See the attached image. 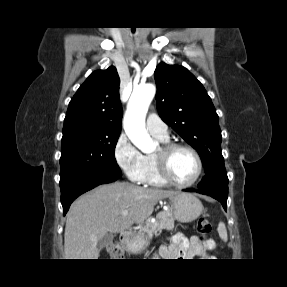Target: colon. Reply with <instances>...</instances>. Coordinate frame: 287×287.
Returning a JSON list of instances; mask_svg holds the SVG:
<instances>
[{
	"mask_svg": "<svg viewBox=\"0 0 287 287\" xmlns=\"http://www.w3.org/2000/svg\"><path fill=\"white\" fill-rule=\"evenodd\" d=\"M211 224L206 218H200L197 223V233L201 241H206L211 232Z\"/></svg>",
	"mask_w": 287,
	"mask_h": 287,
	"instance_id": "obj_1",
	"label": "colon"
}]
</instances>
